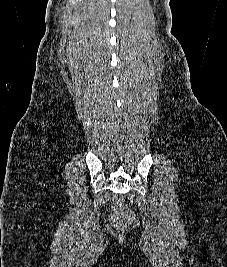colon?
Instances as JSON below:
<instances>
[{
    "label": "colon",
    "instance_id": "obj_1",
    "mask_svg": "<svg viewBox=\"0 0 227 267\" xmlns=\"http://www.w3.org/2000/svg\"><path fill=\"white\" fill-rule=\"evenodd\" d=\"M113 209L114 214L112 216V226L114 228L118 230H125L134 224L135 215L124 205L123 199L116 198Z\"/></svg>",
    "mask_w": 227,
    "mask_h": 267
}]
</instances>
